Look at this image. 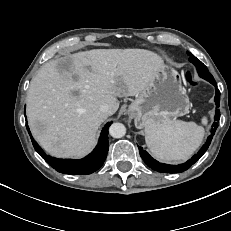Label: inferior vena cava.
Returning <instances> with one entry per match:
<instances>
[{"label":"inferior vena cava","mask_w":231,"mask_h":231,"mask_svg":"<svg viewBox=\"0 0 231 231\" xmlns=\"http://www.w3.org/2000/svg\"><path fill=\"white\" fill-rule=\"evenodd\" d=\"M99 111L101 113H103L104 115L106 116H109L111 115V110H110V107L108 104H102L100 107H99Z\"/></svg>","instance_id":"1"}]
</instances>
